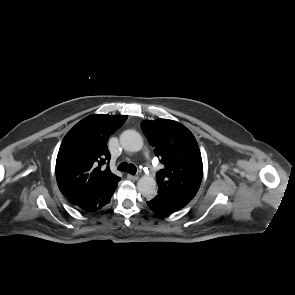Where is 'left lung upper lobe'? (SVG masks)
I'll use <instances>...</instances> for the list:
<instances>
[{
  "mask_svg": "<svg viewBox=\"0 0 295 295\" xmlns=\"http://www.w3.org/2000/svg\"><path fill=\"white\" fill-rule=\"evenodd\" d=\"M141 128L164 165L157 174L159 190L192 200L203 176L201 153L193 134L167 119L145 120Z\"/></svg>",
  "mask_w": 295,
  "mask_h": 295,
  "instance_id": "left-lung-upper-lobe-1",
  "label": "left lung upper lobe"
}]
</instances>
